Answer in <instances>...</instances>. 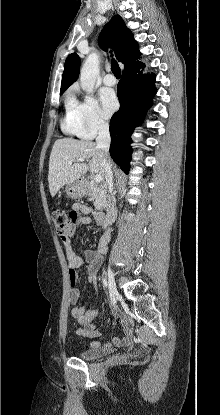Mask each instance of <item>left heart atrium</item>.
<instances>
[{"label": "left heart atrium", "mask_w": 220, "mask_h": 415, "mask_svg": "<svg viewBox=\"0 0 220 415\" xmlns=\"http://www.w3.org/2000/svg\"><path fill=\"white\" fill-rule=\"evenodd\" d=\"M101 113L108 118L118 107V100L113 90L102 89L100 91Z\"/></svg>", "instance_id": "obj_1"}]
</instances>
